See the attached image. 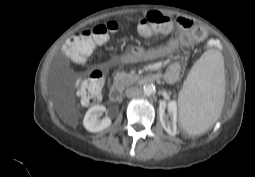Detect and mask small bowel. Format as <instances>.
<instances>
[{"instance_id": "small-bowel-1", "label": "small bowel", "mask_w": 255, "mask_h": 177, "mask_svg": "<svg viewBox=\"0 0 255 177\" xmlns=\"http://www.w3.org/2000/svg\"><path fill=\"white\" fill-rule=\"evenodd\" d=\"M178 33L169 38L165 43L152 48L134 46L129 48L120 58L122 64L134 63L139 61H154L169 57L176 53L179 48L188 46L196 41L205 38L206 32L187 18L179 17L176 19ZM172 30V25L167 32ZM182 74V65L179 61H174L165 73V81L168 84L176 83Z\"/></svg>"}]
</instances>
